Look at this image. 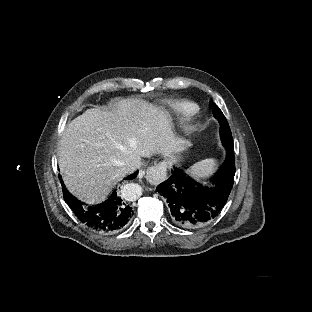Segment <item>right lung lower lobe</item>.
Segmentation results:
<instances>
[{"instance_id":"1","label":"right lung lower lobe","mask_w":312,"mask_h":312,"mask_svg":"<svg viewBox=\"0 0 312 312\" xmlns=\"http://www.w3.org/2000/svg\"><path fill=\"white\" fill-rule=\"evenodd\" d=\"M137 174L138 172H135L126 179H134ZM60 181L66 203L81 223L89 229L102 234H112L124 229L130 221L134 212L129 203L119 195L116 189L104 202L87 207L83 206L84 203L67 191L61 177Z\"/></svg>"}]
</instances>
